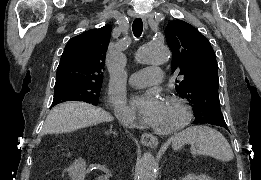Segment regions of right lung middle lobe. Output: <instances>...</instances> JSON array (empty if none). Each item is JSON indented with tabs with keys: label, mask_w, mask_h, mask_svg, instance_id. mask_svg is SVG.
<instances>
[{
	"label": "right lung middle lobe",
	"mask_w": 261,
	"mask_h": 180,
	"mask_svg": "<svg viewBox=\"0 0 261 180\" xmlns=\"http://www.w3.org/2000/svg\"><path fill=\"white\" fill-rule=\"evenodd\" d=\"M102 83L66 82L55 85L53 105L66 101H84L98 104Z\"/></svg>",
	"instance_id": "right-lung-middle-lobe-1"
}]
</instances>
